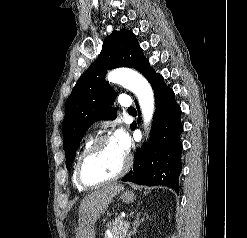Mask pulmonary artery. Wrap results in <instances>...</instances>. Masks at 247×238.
Returning <instances> with one entry per match:
<instances>
[{"label":"pulmonary artery","instance_id":"obj_1","mask_svg":"<svg viewBox=\"0 0 247 238\" xmlns=\"http://www.w3.org/2000/svg\"><path fill=\"white\" fill-rule=\"evenodd\" d=\"M119 104L122 107L130 108L132 105V101H131L130 97H128L127 95H121L119 97Z\"/></svg>","mask_w":247,"mask_h":238}]
</instances>
